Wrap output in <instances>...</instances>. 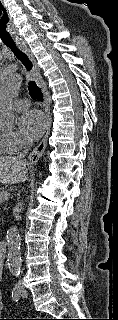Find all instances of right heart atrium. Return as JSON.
Segmentation results:
<instances>
[{
  "instance_id": "right-heart-atrium-1",
  "label": "right heart atrium",
  "mask_w": 118,
  "mask_h": 320,
  "mask_svg": "<svg viewBox=\"0 0 118 320\" xmlns=\"http://www.w3.org/2000/svg\"><path fill=\"white\" fill-rule=\"evenodd\" d=\"M25 140L16 131H2L0 132V147L4 153H15L23 145Z\"/></svg>"
}]
</instances>
